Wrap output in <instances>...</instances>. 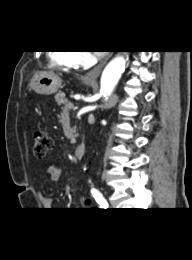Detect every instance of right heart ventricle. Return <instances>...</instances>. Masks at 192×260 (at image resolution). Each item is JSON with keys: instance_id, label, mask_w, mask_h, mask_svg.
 <instances>
[{"instance_id": "obj_1", "label": "right heart ventricle", "mask_w": 192, "mask_h": 260, "mask_svg": "<svg viewBox=\"0 0 192 260\" xmlns=\"http://www.w3.org/2000/svg\"><path fill=\"white\" fill-rule=\"evenodd\" d=\"M51 61L59 66L72 68L76 64L73 60V53L69 51H56L50 55Z\"/></svg>"}]
</instances>
